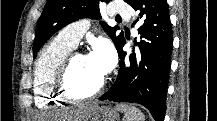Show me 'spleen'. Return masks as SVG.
Segmentation results:
<instances>
[{
  "label": "spleen",
  "instance_id": "spleen-1",
  "mask_svg": "<svg viewBox=\"0 0 217 121\" xmlns=\"http://www.w3.org/2000/svg\"><path fill=\"white\" fill-rule=\"evenodd\" d=\"M115 109L124 113V121H145L142 112L133 105L118 104Z\"/></svg>",
  "mask_w": 217,
  "mask_h": 121
}]
</instances>
